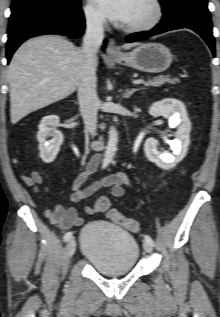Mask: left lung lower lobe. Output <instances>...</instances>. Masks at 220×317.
Returning <instances> with one entry per match:
<instances>
[{
  "label": "left lung lower lobe",
  "instance_id": "left-lung-lower-lobe-1",
  "mask_svg": "<svg viewBox=\"0 0 220 317\" xmlns=\"http://www.w3.org/2000/svg\"><path fill=\"white\" fill-rule=\"evenodd\" d=\"M161 22L152 30L132 34L127 42L145 39L167 31L187 28L199 34L215 56V40L212 35V22L207 8V0H176L171 6L163 8Z\"/></svg>",
  "mask_w": 220,
  "mask_h": 317
}]
</instances>
